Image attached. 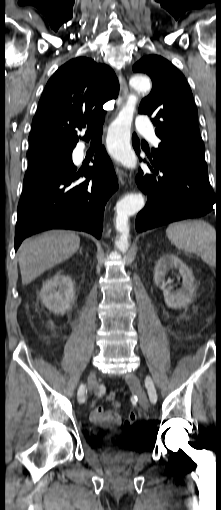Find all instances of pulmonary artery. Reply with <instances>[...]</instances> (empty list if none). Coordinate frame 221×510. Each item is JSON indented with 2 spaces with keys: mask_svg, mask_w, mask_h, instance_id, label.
<instances>
[{
  "mask_svg": "<svg viewBox=\"0 0 221 510\" xmlns=\"http://www.w3.org/2000/svg\"><path fill=\"white\" fill-rule=\"evenodd\" d=\"M135 127L138 132L151 140L154 144L159 143V139L155 136L153 125L145 116H139L136 120Z\"/></svg>",
  "mask_w": 221,
  "mask_h": 510,
  "instance_id": "1",
  "label": "pulmonary artery"
}]
</instances>
